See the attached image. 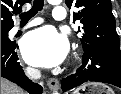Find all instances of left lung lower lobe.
I'll list each match as a JSON object with an SVG mask.
<instances>
[{
  "instance_id": "obj_1",
  "label": "left lung lower lobe",
  "mask_w": 121,
  "mask_h": 94,
  "mask_svg": "<svg viewBox=\"0 0 121 94\" xmlns=\"http://www.w3.org/2000/svg\"><path fill=\"white\" fill-rule=\"evenodd\" d=\"M97 81L121 88V51L96 48L84 51L82 65L75 74L61 81L66 91L85 82Z\"/></svg>"
}]
</instances>
